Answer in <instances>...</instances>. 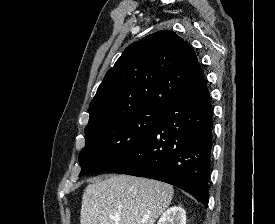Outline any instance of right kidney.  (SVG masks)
I'll list each match as a JSON object with an SVG mask.
<instances>
[{
    "instance_id": "1",
    "label": "right kidney",
    "mask_w": 275,
    "mask_h": 224,
    "mask_svg": "<svg viewBox=\"0 0 275 224\" xmlns=\"http://www.w3.org/2000/svg\"><path fill=\"white\" fill-rule=\"evenodd\" d=\"M157 224H186V212L180 206L170 207L162 214Z\"/></svg>"
}]
</instances>
